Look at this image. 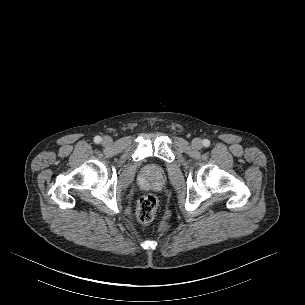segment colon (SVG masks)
<instances>
[{
  "label": "colon",
  "mask_w": 305,
  "mask_h": 305,
  "mask_svg": "<svg viewBox=\"0 0 305 305\" xmlns=\"http://www.w3.org/2000/svg\"><path fill=\"white\" fill-rule=\"evenodd\" d=\"M158 199L154 194H146L142 196L137 204L136 217L142 224L150 223L156 214Z\"/></svg>",
  "instance_id": "obj_1"
}]
</instances>
